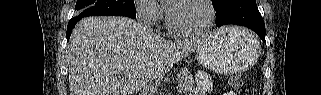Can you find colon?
Returning a JSON list of instances; mask_svg holds the SVG:
<instances>
[{
  "mask_svg": "<svg viewBox=\"0 0 321 95\" xmlns=\"http://www.w3.org/2000/svg\"><path fill=\"white\" fill-rule=\"evenodd\" d=\"M228 84L232 88H239L243 84L242 77L240 75H234V76L230 77Z\"/></svg>",
  "mask_w": 321,
  "mask_h": 95,
  "instance_id": "1",
  "label": "colon"
}]
</instances>
